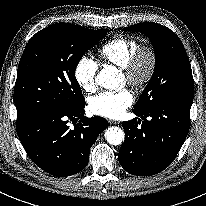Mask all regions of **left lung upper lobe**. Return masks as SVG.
<instances>
[{"label":"left lung upper lobe","mask_w":206,"mask_h":206,"mask_svg":"<svg viewBox=\"0 0 206 206\" xmlns=\"http://www.w3.org/2000/svg\"><path fill=\"white\" fill-rule=\"evenodd\" d=\"M127 30L148 36L156 55L153 75L133 110L145 111L162 102H192L194 81L191 65L178 36L169 28L151 22L124 28Z\"/></svg>","instance_id":"left-lung-upper-lobe-1"}]
</instances>
